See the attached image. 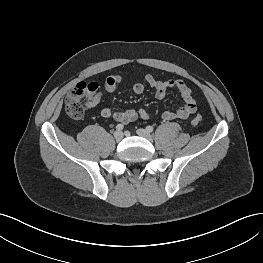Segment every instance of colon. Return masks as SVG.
<instances>
[{
    "mask_svg": "<svg viewBox=\"0 0 263 263\" xmlns=\"http://www.w3.org/2000/svg\"><path fill=\"white\" fill-rule=\"evenodd\" d=\"M97 88V84L93 82H80L73 87L65 98L67 114L73 119L83 118L86 110L92 104ZM200 122V117H195L192 120L193 125H198Z\"/></svg>",
    "mask_w": 263,
    "mask_h": 263,
    "instance_id": "1",
    "label": "colon"
}]
</instances>
